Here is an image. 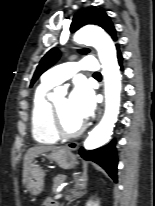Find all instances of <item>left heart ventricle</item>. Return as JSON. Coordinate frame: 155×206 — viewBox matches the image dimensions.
Masks as SVG:
<instances>
[{
	"mask_svg": "<svg viewBox=\"0 0 155 206\" xmlns=\"http://www.w3.org/2000/svg\"><path fill=\"white\" fill-rule=\"evenodd\" d=\"M61 116L62 122L68 129H73L79 126L82 121L77 119L71 112L69 100L66 97H60L54 102Z\"/></svg>",
	"mask_w": 155,
	"mask_h": 206,
	"instance_id": "b2bd125f",
	"label": "left heart ventricle"
}]
</instances>
